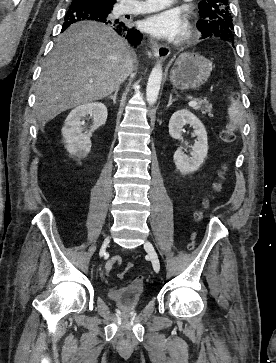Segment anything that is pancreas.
Listing matches in <instances>:
<instances>
[{
    "mask_svg": "<svg viewBox=\"0 0 276 363\" xmlns=\"http://www.w3.org/2000/svg\"><path fill=\"white\" fill-rule=\"evenodd\" d=\"M197 106L194 107L195 110H200L202 114H207L212 116V106L209 104L207 100L198 99Z\"/></svg>",
    "mask_w": 276,
    "mask_h": 363,
    "instance_id": "obj_1",
    "label": "pancreas"
}]
</instances>
